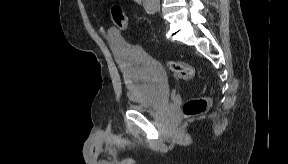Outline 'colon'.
I'll return each instance as SVG.
<instances>
[{
    "label": "colon",
    "mask_w": 288,
    "mask_h": 164,
    "mask_svg": "<svg viewBox=\"0 0 288 164\" xmlns=\"http://www.w3.org/2000/svg\"><path fill=\"white\" fill-rule=\"evenodd\" d=\"M112 14L117 22L118 28L122 31H127L129 29V23L123 12L119 9H115L112 11ZM167 65L178 78L191 80L196 77V70L186 63L169 60ZM209 107L210 99L203 96L188 100L183 105L182 110L186 117H196L205 113Z\"/></svg>",
    "instance_id": "obj_1"
}]
</instances>
